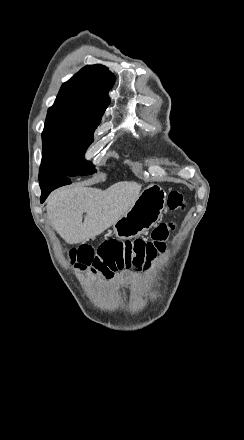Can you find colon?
Listing matches in <instances>:
<instances>
[{"label":"colon","mask_w":244,"mask_h":440,"mask_svg":"<svg viewBox=\"0 0 244 440\" xmlns=\"http://www.w3.org/2000/svg\"><path fill=\"white\" fill-rule=\"evenodd\" d=\"M169 212H180L185 208V200L180 191L173 190L167 196ZM174 229L173 224H160L155 227L151 239L142 238L133 241L109 240L100 244L96 251L93 248H72L71 258L79 262L72 264V269L77 271L92 270L102 274L106 279L112 278L115 272L130 270L132 268L146 269L157 254L165 248L164 241L169 231Z\"/></svg>","instance_id":"5ec220e1"}]
</instances>
